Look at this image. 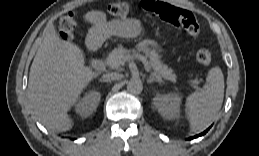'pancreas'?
Here are the masks:
<instances>
[{"label": "pancreas", "instance_id": "cf45deb5", "mask_svg": "<svg viewBox=\"0 0 259 156\" xmlns=\"http://www.w3.org/2000/svg\"><path fill=\"white\" fill-rule=\"evenodd\" d=\"M141 53L150 58V66L153 68L155 75L159 77L162 76L166 80H176V75L173 73V70L160 61V56L156 50L150 48L146 41L139 47L131 50L123 47L115 48L108 55L106 62L111 69H120L127 60L134 59L136 56H142Z\"/></svg>", "mask_w": 259, "mask_h": 156}]
</instances>
